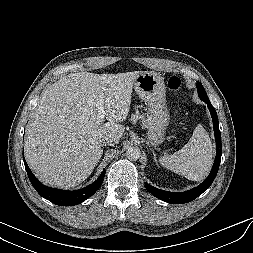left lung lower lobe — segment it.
Listing matches in <instances>:
<instances>
[{"instance_id": "obj_1", "label": "left lung lower lobe", "mask_w": 253, "mask_h": 253, "mask_svg": "<svg viewBox=\"0 0 253 253\" xmlns=\"http://www.w3.org/2000/svg\"><path fill=\"white\" fill-rule=\"evenodd\" d=\"M204 102L207 104L212 116L213 128H214L215 139H216L217 151H216V158H215V162L213 164L212 170L209 176L206 178V180L202 184L186 192H179V193L168 192V191L157 189L149 185L148 183L145 184V187L149 192H151L155 197L165 202L172 203V204H183V203H187L194 200L210 187V185L212 184V182L214 181L217 175L220 161H221V156H222L221 133L219 130L218 117H217L215 108L212 106L209 100H205Z\"/></svg>"}]
</instances>
